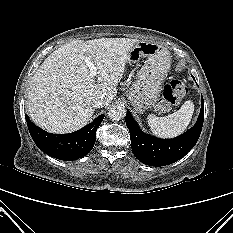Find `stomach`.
Listing matches in <instances>:
<instances>
[{
  "label": "stomach",
  "instance_id": "0dacf381",
  "mask_svg": "<svg viewBox=\"0 0 233 233\" xmlns=\"http://www.w3.org/2000/svg\"><path fill=\"white\" fill-rule=\"evenodd\" d=\"M141 57L146 58V62L127 92L128 99L138 113L157 103L171 62V55L165 47L149 41H138L131 49L127 62L135 63Z\"/></svg>",
  "mask_w": 233,
  "mask_h": 233
}]
</instances>
